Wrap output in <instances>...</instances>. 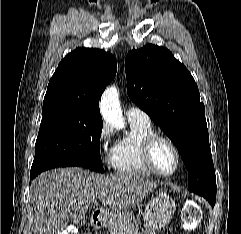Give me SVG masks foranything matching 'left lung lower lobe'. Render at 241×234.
Segmentation results:
<instances>
[{
    "mask_svg": "<svg viewBox=\"0 0 241 234\" xmlns=\"http://www.w3.org/2000/svg\"><path fill=\"white\" fill-rule=\"evenodd\" d=\"M210 204H211L212 206H214V205H215V202H214V201H210Z\"/></svg>",
    "mask_w": 241,
    "mask_h": 234,
    "instance_id": "left-lung-lower-lobe-1",
    "label": "left lung lower lobe"
}]
</instances>
